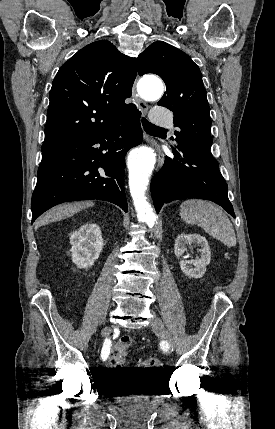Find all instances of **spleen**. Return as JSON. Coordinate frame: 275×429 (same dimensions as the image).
<instances>
[{
	"label": "spleen",
	"mask_w": 275,
	"mask_h": 429,
	"mask_svg": "<svg viewBox=\"0 0 275 429\" xmlns=\"http://www.w3.org/2000/svg\"><path fill=\"white\" fill-rule=\"evenodd\" d=\"M180 216L187 224L200 226L206 233L225 245L229 247L236 245L232 223L213 203L198 199L186 200L180 206Z\"/></svg>",
	"instance_id": "spleen-1"
}]
</instances>
